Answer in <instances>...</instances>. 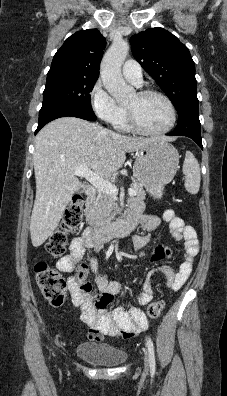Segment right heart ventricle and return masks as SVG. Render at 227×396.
I'll return each instance as SVG.
<instances>
[{
    "label": "right heart ventricle",
    "mask_w": 227,
    "mask_h": 396,
    "mask_svg": "<svg viewBox=\"0 0 227 396\" xmlns=\"http://www.w3.org/2000/svg\"><path fill=\"white\" fill-rule=\"evenodd\" d=\"M115 128H117L120 131H125L129 132L132 130V128L129 125L128 118H127V113L126 110L123 109V114L121 117L114 123Z\"/></svg>",
    "instance_id": "right-heart-ventricle-1"
}]
</instances>
